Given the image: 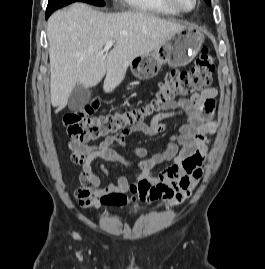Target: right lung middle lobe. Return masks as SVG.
<instances>
[{
	"mask_svg": "<svg viewBox=\"0 0 265 269\" xmlns=\"http://www.w3.org/2000/svg\"><path fill=\"white\" fill-rule=\"evenodd\" d=\"M58 1H79V2H85L88 4L96 5V6H104L105 5V2L103 0H49L48 3L58 2Z\"/></svg>",
	"mask_w": 265,
	"mask_h": 269,
	"instance_id": "dd1d6c3e",
	"label": "right lung middle lobe"
}]
</instances>
